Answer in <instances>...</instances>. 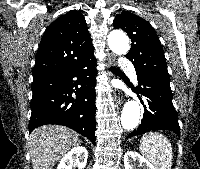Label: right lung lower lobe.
Here are the masks:
<instances>
[{"mask_svg":"<svg viewBox=\"0 0 200 169\" xmlns=\"http://www.w3.org/2000/svg\"><path fill=\"white\" fill-rule=\"evenodd\" d=\"M96 59L64 73L33 81L29 133L46 124L70 127L95 144Z\"/></svg>","mask_w":200,"mask_h":169,"instance_id":"obj_1","label":"right lung lower lobe"}]
</instances>
